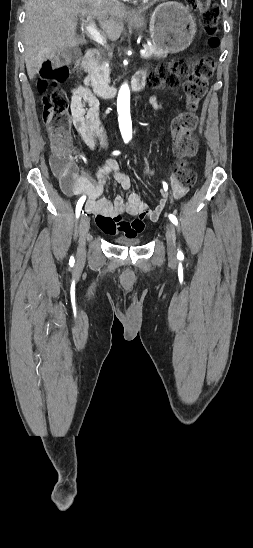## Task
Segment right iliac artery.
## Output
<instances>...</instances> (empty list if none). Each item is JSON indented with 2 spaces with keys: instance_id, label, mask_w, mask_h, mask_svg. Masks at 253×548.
<instances>
[{
  "instance_id": "obj_1",
  "label": "right iliac artery",
  "mask_w": 253,
  "mask_h": 548,
  "mask_svg": "<svg viewBox=\"0 0 253 548\" xmlns=\"http://www.w3.org/2000/svg\"><path fill=\"white\" fill-rule=\"evenodd\" d=\"M113 154L118 155L119 151H114ZM85 200H86V197L82 196L77 202V205H76V217L77 218L80 216V212H81V209H82V206H83Z\"/></svg>"
}]
</instances>
